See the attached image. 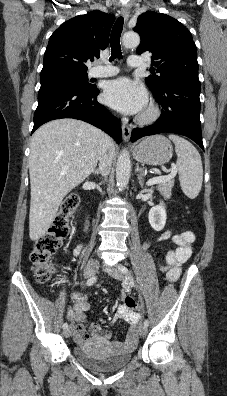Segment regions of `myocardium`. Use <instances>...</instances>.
Masks as SVG:
<instances>
[{"mask_svg": "<svg viewBox=\"0 0 227 396\" xmlns=\"http://www.w3.org/2000/svg\"><path fill=\"white\" fill-rule=\"evenodd\" d=\"M160 117V110L157 106L151 104L138 117V122L141 124H151Z\"/></svg>", "mask_w": 227, "mask_h": 396, "instance_id": "f54148a6", "label": "myocardium"}]
</instances>
